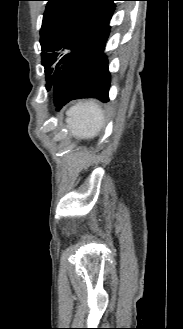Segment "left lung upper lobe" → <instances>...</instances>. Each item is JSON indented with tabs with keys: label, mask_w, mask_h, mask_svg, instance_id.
I'll use <instances>...</instances> for the list:
<instances>
[{
	"label": "left lung upper lobe",
	"mask_w": 183,
	"mask_h": 329,
	"mask_svg": "<svg viewBox=\"0 0 183 329\" xmlns=\"http://www.w3.org/2000/svg\"><path fill=\"white\" fill-rule=\"evenodd\" d=\"M40 30L42 65L45 68L47 84L52 86L60 68L53 71L52 65L64 49L68 53L59 61L63 63L76 50L88 31L115 8L117 0H46Z\"/></svg>",
	"instance_id": "1"
}]
</instances>
